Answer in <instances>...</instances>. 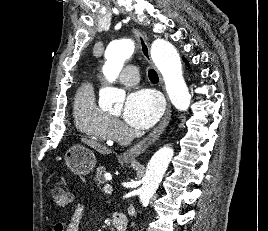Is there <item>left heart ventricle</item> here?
I'll list each match as a JSON object with an SVG mask.
<instances>
[{
  "instance_id": "left-heart-ventricle-1",
  "label": "left heart ventricle",
  "mask_w": 268,
  "mask_h": 231,
  "mask_svg": "<svg viewBox=\"0 0 268 231\" xmlns=\"http://www.w3.org/2000/svg\"><path fill=\"white\" fill-rule=\"evenodd\" d=\"M120 111H121V108L115 109L114 111H112V114L118 115Z\"/></svg>"
}]
</instances>
